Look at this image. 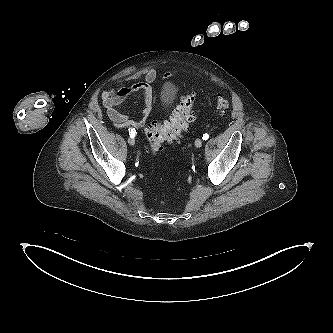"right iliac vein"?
Returning a JSON list of instances; mask_svg holds the SVG:
<instances>
[{
  "label": "right iliac vein",
  "instance_id": "right-iliac-vein-1",
  "mask_svg": "<svg viewBox=\"0 0 333 333\" xmlns=\"http://www.w3.org/2000/svg\"><path fill=\"white\" fill-rule=\"evenodd\" d=\"M128 143L133 146L135 144L134 138L132 137L128 138Z\"/></svg>",
  "mask_w": 333,
  "mask_h": 333
}]
</instances>
